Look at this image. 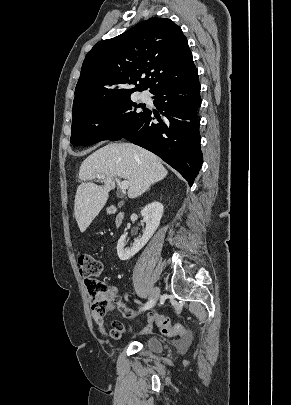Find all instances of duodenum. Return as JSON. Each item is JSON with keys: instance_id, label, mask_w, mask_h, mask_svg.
<instances>
[{"instance_id": "1", "label": "duodenum", "mask_w": 291, "mask_h": 405, "mask_svg": "<svg viewBox=\"0 0 291 405\" xmlns=\"http://www.w3.org/2000/svg\"><path fill=\"white\" fill-rule=\"evenodd\" d=\"M122 219H123V215H122V214H119V215L117 216V218H116V224H117V225H120L121 222H122Z\"/></svg>"}]
</instances>
